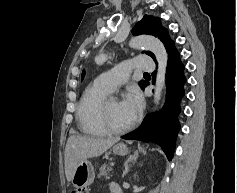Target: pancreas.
<instances>
[{
    "instance_id": "obj_1",
    "label": "pancreas",
    "mask_w": 237,
    "mask_h": 193,
    "mask_svg": "<svg viewBox=\"0 0 237 193\" xmlns=\"http://www.w3.org/2000/svg\"><path fill=\"white\" fill-rule=\"evenodd\" d=\"M108 171H111V167L108 164H103L99 168L98 178H101L102 176H107Z\"/></svg>"
}]
</instances>
